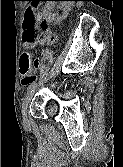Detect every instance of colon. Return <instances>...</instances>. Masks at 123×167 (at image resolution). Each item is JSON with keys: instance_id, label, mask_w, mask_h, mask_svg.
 I'll list each match as a JSON object with an SVG mask.
<instances>
[{"instance_id": "colon-1", "label": "colon", "mask_w": 123, "mask_h": 167, "mask_svg": "<svg viewBox=\"0 0 123 167\" xmlns=\"http://www.w3.org/2000/svg\"><path fill=\"white\" fill-rule=\"evenodd\" d=\"M45 23L42 20L38 7L29 8L23 20V34L22 39L25 46L29 49L33 47L44 35ZM30 51H27L22 58L21 71L27 74L30 67ZM38 64V60L35 61Z\"/></svg>"}]
</instances>
